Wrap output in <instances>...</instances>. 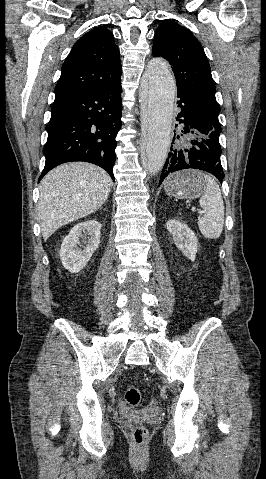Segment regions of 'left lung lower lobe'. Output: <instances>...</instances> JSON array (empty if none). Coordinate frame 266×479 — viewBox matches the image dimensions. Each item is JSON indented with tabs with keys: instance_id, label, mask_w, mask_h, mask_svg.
I'll return each mask as SVG.
<instances>
[{
	"instance_id": "obj_1",
	"label": "left lung lower lobe",
	"mask_w": 266,
	"mask_h": 479,
	"mask_svg": "<svg viewBox=\"0 0 266 479\" xmlns=\"http://www.w3.org/2000/svg\"><path fill=\"white\" fill-rule=\"evenodd\" d=\"M177 97L180 98L177 120L182 124V134L173 137L159 185L170 173L189 168L207 171L222 183L224 172L219 143L221 129L188 97L181 93H177Z\"/></svg>"
}]
</instances>
